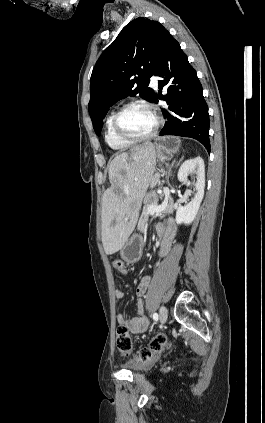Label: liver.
<instances>
[{"instance_id": "1", "label": "liver", "mask_w": 265, "mask_h": 423, "mask_svg": "<svg viewBox=\"0 0 265 423\" xmlns=\"http://www.w3.org/2000/svg\"><path fill=\"white\" fill-rule=\"evenodd\" d=\"M157 152L151 142L117 155L109 164L111 187L102 201V244L107 255L122 249L133 232L148 187H155Z\"/></svg>"}]
</instances>
